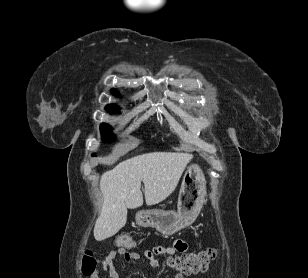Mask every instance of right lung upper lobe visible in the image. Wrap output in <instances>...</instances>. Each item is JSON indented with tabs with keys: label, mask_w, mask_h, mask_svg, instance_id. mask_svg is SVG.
<instances>
[{
	"label": "right lung upper lobe",
	"mask_w": 308,
	"mask_h": 278,
	"mask_svg": "<svg viewBox=\"0 0 308 278\" xmlns=\"http://www.w3.org/2000/svg\"><path fill=\"white\" fill-rule=\"evenodd\" d=\"M112 93L116 96H120L119 93L116 90H112ZM105 109L110 113H118L119 112V109L116 106H113V105H108Z\"/></svg>",
	"instance_id": "cb5924a9"
}]
</instances>
